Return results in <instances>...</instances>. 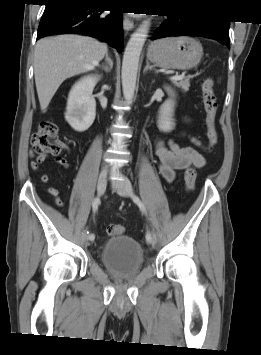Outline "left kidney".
<instances>
[{
  "label": "left kidney",
  "mask_w": 261,
  "mask_h": 355,
  "mask_svg": "<svg viewBox=\"0 0 261 355\" xmlns=\"http://www.w3.org/2000/svg\"><path fill=\"white\" fill-rule=\"evenodd\" d=\"M166 90L171 98L165 101L160 107L158 119V128L163 132H169L175 126L172 119L175 104V101L173 100L174 93L169 87H167Z\"/></svg>",
  "instance_id": "obj_1"
}]
</instances>
